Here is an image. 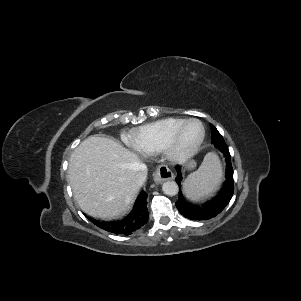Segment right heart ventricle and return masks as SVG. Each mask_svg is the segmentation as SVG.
I'll return each mask as SVG.
<instances>
[{
	"instance_id": "1",
	"label": "right heart ventricle",
	"mask_w": 301,
	"mask_h": 301,
	"mask_svg": "<svg viewBox=\"0 0 301 301\" xmlns=\"http://www.w3.org/2000/svg\"><path fill=\"white\" fill-rule=\"evenodd\" d=\"M185 121L183 118H165L143 125L131 133L130 143L140 153H159L167 138Z\"/></svg>"
}]
</instances>
